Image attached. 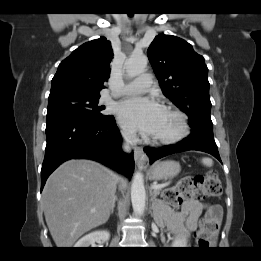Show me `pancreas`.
<instances>
[{
	"label": "pancreas",
	"instance_id": "cf45deb5",
	"mask_svg": "<svg viewBox=\"0 0 261 261\" xmlns=\"http://www.w3.org/2000/svg\"><path fill=\"white\" fill-rule=\"evenodd\" d=\"M162 191V188H159V189H154L151 194L152 196L156 197L160 194V192Z\"/></svg>",
	"mask_w": 261,
	"mask_h": 261
}]
</instances>
